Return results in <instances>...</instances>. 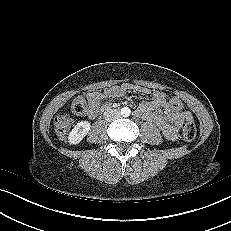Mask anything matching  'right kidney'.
I'll use <instances>...</instances> for the list:
<instances>
[{"mask_svg": "<svg viewBox=\"0 0 231 231\" xmlns=\"http://www.w3.org/2000/svg\"><path fill=\"white\" fill-rule=\"evenodd\" d=\"M91 128V124L88 121L78 122L71 130L68 136V142L72 145H76L82 141Z\"/></svg>", "mask_w": 231, "mask_h": 231, "instance_id": "right-kidney-1", "label": "right kidney"}]
</instances>
